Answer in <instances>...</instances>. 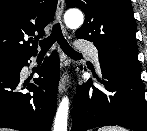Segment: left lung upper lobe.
<instances>
[{"label":"left lung upper lobe","mask_w":147,"mask_h":131,"mask_svg":"<svg viewBox=\"0 0 147 131\" xmlns=\"http://www.w3.org/2000/svg\"><path fill=\"white\" fill-rule=\"evenodd\" d=\"M66 5L84 11L86 20L75 35L94 43L100 63L141 77L130 0H66Z\"/></svg>","instance_id":"1"}]
</instances>
